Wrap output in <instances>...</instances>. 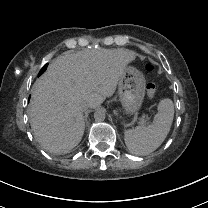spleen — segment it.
<instances>
[{
  "instance_id": "obj_1",
  "label": "spleen",
  "mask_w": 208,
  "mask_h": 208,
  "mask_svg": "<svg viewBox=\"0 0 208 208\" xmlns=\"http://www.w3.org/2000/svg\"><path fill=\"white\" fill-rule=\"evenodd\" d=\"M174 118V104L166 98L159 102L158 112L149 126L126 130L125 144L132 154L147 155L155 151L167 137Z\"/></svg>"
}]
</instances>
